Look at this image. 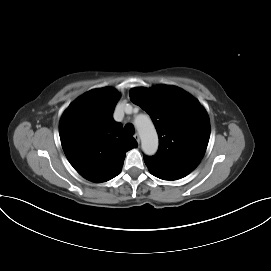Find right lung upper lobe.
Here are the masks:
<instances>
[{
    "instance_id": "right-lung-upper-lobe-1",
    "label": "right lung upper lobe",
    "mask_w": 271,
    "mask_h": 271,
    "mask_svg": "<svg viewBox=\"0 0 271 271\" xmlns=\"http://www.w3.org/2000/svg\"><path fill=\"white\" fill-rule=\"evenodd\" d=\"M120 94L113 88L91 90L77 98L59 124L61 144L75 170L89 181H108L120 174L125 153L137 147L112 114Z\"/></svg>"
}]
</instances>
